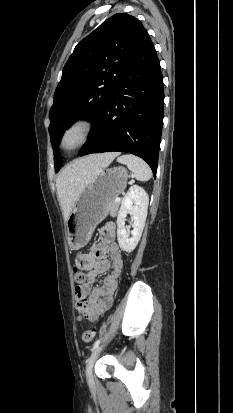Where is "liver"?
Instances as JSON below:
<instances>
[{
    "label": "liver",
    "mask_w": 233,
    "mask_h": 413,
    "mask_svg": "<svg viewBox=\"0 0 233 413\" xmlns=\"http://www.w3.org/2000/svg\"><path fill=\"white\" fill-rule=\"evenodd\" d=\"M118 155L117 152L90 155L75 160L60 172L56 187L65 222L84 188Z\"/></svg>",
    "instance_id": "6515ba94"
}]
</instances>
